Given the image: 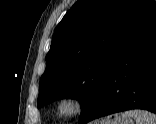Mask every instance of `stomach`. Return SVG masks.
I'll list each match as a JSON object with an SVG mask.
<instances>
[{"label":"stomach","mask_w":156,"mask_h":124,"mask_svg":"<svg viewBox=\"0 0 156 124\" xmlns=\"http://www.w3.org/2000/svg\"><path fill=\"white\" fill-rule=\"evenodd\" d=\"M103 122V124H133V120L129 117H126L124 114H116L112 120Z\"/></svg>","instance_id":"stomach-1"}]
</instances>
